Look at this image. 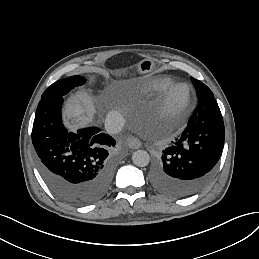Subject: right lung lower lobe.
<instances>
[{
	"mask_svg": "<svg viewBox=\"0 0 259 259\" xmlns=\"http://www.w3.org/2000/svg\"><path fill=\"white\" fill-rule=\"evenodd\" d=\"M63 97L41 99L32 129L38 170L50 189L72 205L103 198L112 183L109 151L115 140L97 127L68 132L61 120Z\"/></svg>",
	"mask_w": 259,
	"mask_h": 259,
	"instance_id": "98d812e1",
	"label": "right lung lower lobe"
}]
</instances>
